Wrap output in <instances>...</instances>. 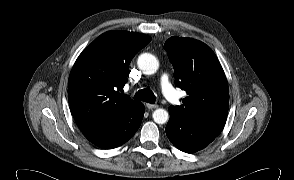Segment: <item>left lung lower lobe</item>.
<instances>
[{
    "label": "left lung lower lobe",
    "mask_w": 294,
    "mask_h": 180,
    "mask_svg": "<svg viewBox=\"0 0 294 180\" xmlns=\"http://www.w3.org/2000/svg\"><path fill=\"white\" fill-rule=\"evenodd\" d=\"M170 119L166 134L170 142L186 153L208 146L221 133L226 120L188 119L169 107Z\"/></svg>",
    "instance_id": "obj_1"
}]
</instances>
